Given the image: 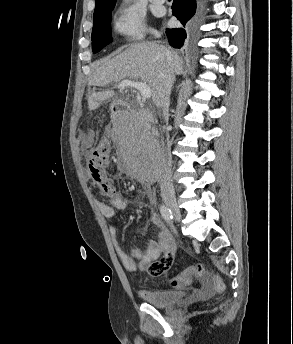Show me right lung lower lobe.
Segmentation results:
<instances>
[{
    "label": "right lung lower lobe",
    "instance_id": "1",
    "mask_svg": "<svg viewBox=\"0 0 293 344\" xmlns=\"http://www.w3.org/2000/svg\"><path fill=\"white\" fill-rule=\"evenodd\" d=\"M172 12L175 17L182 23L196 22L198 13L196 14V0H174L172 4ZM187 31L184 28L167 29L166 34L171 46L181 48L187 38Z\"/></svg>",
    "mask_w": 293,
    "mask_h": 344
}]
</instances>
